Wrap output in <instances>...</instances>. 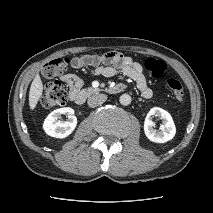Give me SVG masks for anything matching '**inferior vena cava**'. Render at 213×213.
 I'll return each instance as SVG.
<instances>
[{
	"mask_svg": "<svg viewBox=\"0 0 213 213\" xmlns=\"http://www.w3.org/2000/svg\"><path fill=\"white\" fill-rule=\"evenodd\" d=\"M106 100H107V95L96 94V95L89 97L87 103H88L89 107L94 108L96 106L103 104Z\"/></svg>",
	"mask_w": 213,
	"mask_h": 213,
	"instance_id": "1",
	"label": "inferior vena cava"
}]
</instances>
